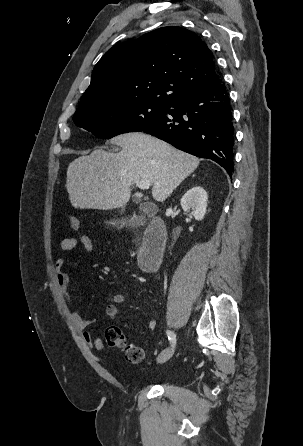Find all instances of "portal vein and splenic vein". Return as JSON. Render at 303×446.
Here are the masks:
<instances>
[{
    "mask_svg": "<svg viewBox=\"0 0 303 446\" xmlns=\"http://www.w3.org/2000/svg\"><path fill=\"white\" fill-rule=\"evenodd\" d=\"M136 185L141 189V190H147L150 188L151 186V182L149 180H143L140 182H137Z\"/></svg>",
    "mask_w": 303,
    "mask_h": 446,
    "instance_id": "obj_1",
    "label": "portal vein and splenic vein"
}]
</instances>
